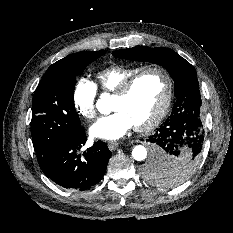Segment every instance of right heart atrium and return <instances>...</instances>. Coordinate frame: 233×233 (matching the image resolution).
<instances>
[{"label": "right heart atrium", "mask_w": 233, "mask_h": 233, "mask_svg": "<svg viewBox=\"0 0 233 233\" xmlns=\"http://www.w3.org/2000/svg\"><path fill=\"white\" fill-rule=\"evenodd\" d=\"M96 84L86 78H80L76 81L72 92V103L76 112L85 119H93L97 114Z\"/></svg>", "instance_id": "obj_1"}]
</instances>
